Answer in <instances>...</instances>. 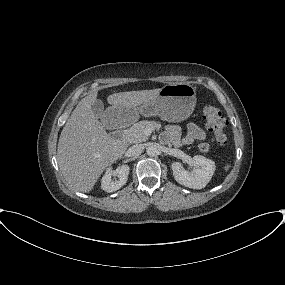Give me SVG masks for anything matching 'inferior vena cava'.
Masks as SVG:
<instances>
[{
	"label": "inferior vena cava",
	"instance_id": "inferior-vena-cava-1",
	"mask_svg": "<svg viewBox=\"0 0 285 285\" xmlns=\"http://www.w3.org/2000/svg\"><path fill=\"white\" fill-rule=\"evenodd\" d=\"M143 149V144H135L128 149V154L129 156H138L142 153Z\"/></svg>",
	"mask_w": 285,
	"mask_h": 285
}]
</instances>
